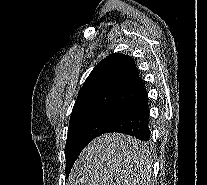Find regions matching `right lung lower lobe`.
Returning a JSON list of instances; mask_svg holds the SVG:
<instances>
[{"label":"right lung lower lobe","instance_id":"obj_1","mask_svg":"<svg viewBox=\"0 0 207 185\" xmlns=\"http://www.w3.org/2000/svg\"><path fill=\"white\" fill-rule=\"evenodd\" d=\"M148 122V94L145 92L130 106L123 110L120 116L105 130L104 133H125L142 141H147L150 138Z\"/></svg>","mask_w":207,"mask_h":185}]
</instances>
